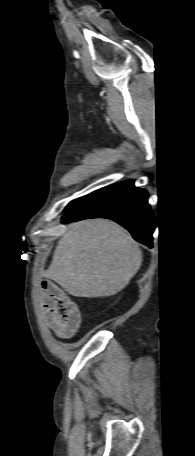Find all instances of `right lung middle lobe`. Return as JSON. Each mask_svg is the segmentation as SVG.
Returning a JSON list of instances; mask_svg holds the SVG:
<instances>
[{
    "mask_svg": "<svg viewBox=\"0 0 195 456\" xmlns=\"http://www.w3.org/2000/svg\"><path fill=\"white\" fill-rule=\"evenodd\" d=\"M103 189V188H102ZM102 189H99V190H96L86 196H83L81 198H78L74 201H72L71 203H69V205L65 208V212L66 211H69L75 207H77L78 205L84 203L85 201H87L88 199H90L92 196H94L95 194H97L99 191H101Z\"/></svg>",
    "mask_w": 195,
    "mask_h": 456,
    "instance_id": "obj_1",
    "label": "right lung middle lobe"
}]
</instances>
